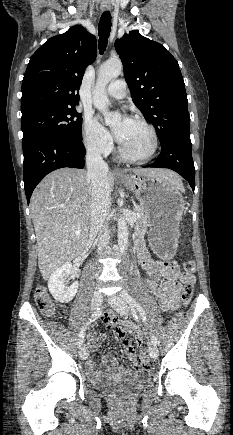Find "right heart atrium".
I'll return each instance as SVG.
<instances>
[{"instance_id":"obj_1","label":"right heart atrium","mask_w":233,"mask_h":435,"mask_svg":"<svg viewBox=\"0 0 233 435\" xmlns=\"http://www.w3.org/2000/svg\"><path fill=\"white\" fill-rule=\"evenodd\" d=\"M82 140L86 150L96 156L106 155L112 149L111 135L92 116L84 119Z\"/></svg>"}]
</instances>
